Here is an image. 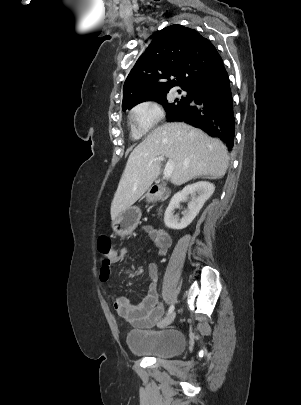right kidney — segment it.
<instances>
[{
  "label": "right kidney",
  "mask_w": 301,
  "mask_h": 405,
  "mask_svg": "<svg viewBox=\"0 0 301 405\" xmlns=\"http://www.w3.org/2000/svg\"><path fill=\"white\" fill-rule=\"evenodd\" d=\"M215 186L207 181H199L195 184L186 186L182 191L177 192L171 199L164 215V222L168 228L181 230L186 228L197 216L204 203L214 193ZM192 199L188 203V210L183 212V217L180 219L174 214L175 209L179 208L180 203L188 199Z\"/></svg>",
  "instance_id": "obj_1"
}]
</instances>
